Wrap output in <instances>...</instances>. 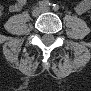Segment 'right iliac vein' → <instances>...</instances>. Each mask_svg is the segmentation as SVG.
Instances as JSON below:
<instances>
[{
  "label": "right iliac vein",
  "mask_w": 91,
  "mask_h": 91,
  "mask_svg": "<svg viewBox=\"0 0 91 91\" xmlns=\"http://www.w3.org/2000/svg\"><path fill=\"white\" fill-rule=\"evenodd\" d=\"M42 12V9L40 7H36L32 10V16L38 17Z\"/></svg>",
  "instance_id": "right-iliac-vein-1"
}]
</instances>
